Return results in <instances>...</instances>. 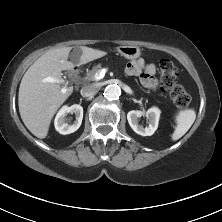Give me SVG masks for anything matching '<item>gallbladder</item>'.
<instances>
[{
	"label": "gallbladder",
	"instance_id": "gallbladder-1",
	"mask_svg": "<svg viewBox=\"0 0 222 222\" xmlns=\"http://www.w3.org/2000/svg\"><path fill=\"white\" fill-rule=\"evenodd\" d=\"M79 51H80V48H78V47H77V48H74V52L77 53V52H79ZM74 62L76 63V61H74Z\"/></svg>",
	"mask_w": 222,
	"mask_h": 222
}]
</instances>
